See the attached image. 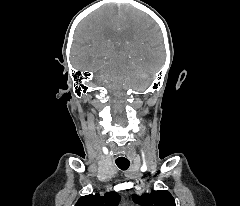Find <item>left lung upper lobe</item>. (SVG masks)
Masks as SVG:
<instances>
[{"label":"left lung upper lobe","instance_id":"obj_1","mask_svg":"<svg viewBox=\"0 0 240 206\" xmlns=\"http://www.w3.org/2000/svg\"><path fill=\"white\" fill-rule=\"evenodd\" d=\"M133 201L141 206H176L174 198L166 190L154 191L150 195H133Z\"/></svg>","mask_w":240,"mask_h":206}]
</instances>
